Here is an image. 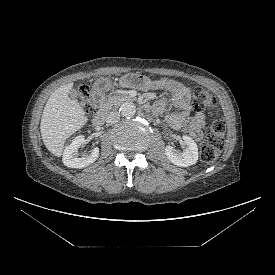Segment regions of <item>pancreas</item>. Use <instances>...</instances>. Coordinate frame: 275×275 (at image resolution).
<instances>
[{
  "instance_id": "pancreas-1",
  "label": "pancreas",
  "mask_w": 275,
  "mask_h": 275,
  "mask_svg": "<svg viewBox=\"0 0 275 275\" xmlns=\"http://www.w3.org/2000/svg\"><path fill=\"white\" fill-rule=\"evenodd\" d=\"M132 98L129 96V94L125 91H114L113 94L107 96L104 100L103 109L109 110L113 106L117 107L124 101H131Z\"/></svg>"
}]
</instances>
